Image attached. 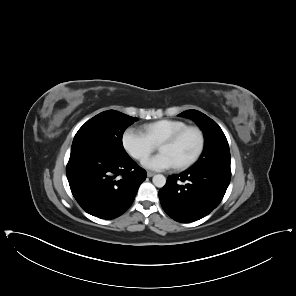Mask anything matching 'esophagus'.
<instances>
[{
    "instance_id": "esophagus-1",
    "label": "esophagus",
    "mask_w": 296,
    "mask_h": 296,
    "mask_svg": "<svg viewBox=\"0 0 296 296\" xmlns=\"http://www.w3.org/2000/svg\"><path fill=\"white\" fill-rule=\"evenodd\" d=\"M154 175H155L154 172L147 171V177H152V176H154Z\"/></svg>"
}]
</instances>
